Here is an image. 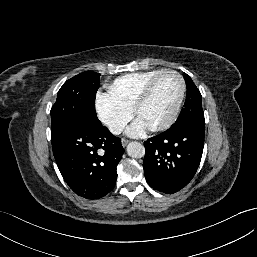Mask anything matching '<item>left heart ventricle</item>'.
<instances>
[{
    "mask_svg": "<svg viewBox=\"0 0 257 257\" xmlns=\"http://www.w3.org/2000/svg\"><path fill=\"white\" fill-rule=\"evenodd\" d=\"M180 94V82L175 75H164L138 113L148 128L163 123L172 113Z\"/></svg>",
    "mask_w": 257,
    "mask_h": 257,
    "instance_id": "b2bd125f",
    "label": "left heart ventricle"
}]
</instances>
